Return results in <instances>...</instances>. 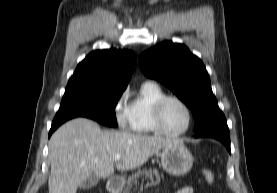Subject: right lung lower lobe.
I'll return each instance as SVG.
<instances>
[{"label": "right lung lower lobe", "instance_id": "obj_1", "mask_svg": "<svg viewBox=\"0 0 277 193\" xmlns=\"http://www.w3.org/2000/svg\"><path fill=\"white\" fill-rule=\"evenodd\" d=\"M69 119H71V118H54L51 129L49 131V137L61 124H63L64 122H66Z\"/></svg>", "mask_w": 277, "mask_h": 193}]
</instances>
